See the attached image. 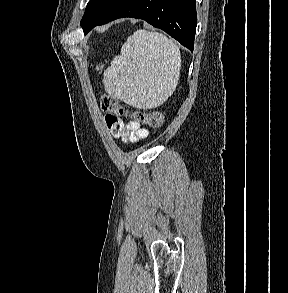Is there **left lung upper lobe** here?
<instances>
[{
  "mask_svg": "<svg viewBox=\"0 0 288 293\" xmlns=\"http://www.w3.org/2000/svg\"><path fill=\"white\" fill-rule=\"evenodd\" d=\"M118 0H91L86 7L85 14L81 20V26L87 34L93 25L100 20Z\"/></svg>",
  "mask_w": 288,
  "mask_h": 293,
  "instance_id": "left-lung-upper-lobe-1",
  "label": "left lung upper lobe"
}]
</instances>
